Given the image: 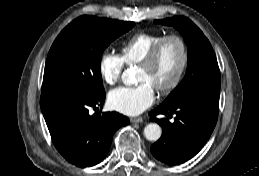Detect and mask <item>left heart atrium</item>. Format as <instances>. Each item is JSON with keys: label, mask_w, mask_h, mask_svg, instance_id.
Here are the masks:
<instances>
[{"label": "left heart atrium", "mask_w": 259, "mask_h": 176, "mask_svg": "<svg viewBox=\"0 0 259 176\" xmlns=\"http://www.w3.org/2000/svg\"><path fill=\"white\" fill-rule=\"evenodd\" d=\"M155 99L154 87L148 82L136 86L119 87L109 92L110 107L126 115H138L152 105Z\"/></svg>", "instance_id": "39dd6f15"}]
</instances>
